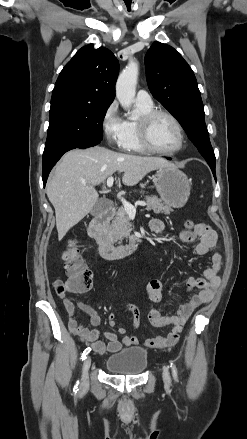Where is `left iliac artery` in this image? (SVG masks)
<instances>
[{
    "mask_svg": "<svg viewBox=\"0 0 247 439\" xmlns=\"http://www.w3.org/2000/svg\"><path fill=\"white\" fill-rule=\"evenodd\" d=\"M170 364H171V369H172L174 380L177 381L178 380L177 368H176V366L174 365L173 362H170Z\"/></svg>",
    "mask_w": 247,
    "mask_h": 439,
    "instance_id": "1",
    "label": "left iliac artery"
}]
</instances>
